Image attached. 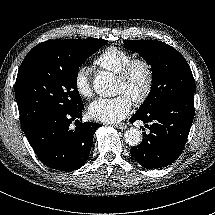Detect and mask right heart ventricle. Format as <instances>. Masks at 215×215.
<instances>
[{
    "instance_id": "1",
    "label": "right heart ventricle",
    "mask_w": 215,
    "mask_h": 215,
    "mask_svg": "<svg viewBox=\"0 0 215 215\" xmlns=\"http://www.w3.org/2000/svg\"><path fill=\"white\" fill-rule=\"evenodd\" d=\"M133 56V53L124 47L108 46L98 54L93 64L100 70L117 73Z\"/></svg>"
}]
</instances>
